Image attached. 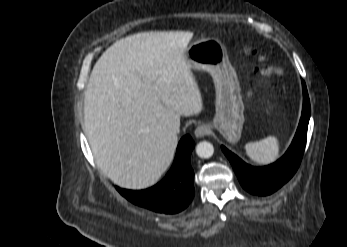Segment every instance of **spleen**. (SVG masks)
<instances>
[{
	"mask_svg": "<svg viewBox=\"0 0 347 247\" xmlns=\"http://www.w3.org/2000/svg\"><path fill=\"white\" fill-rule=\"evenodd\" d=\"M247 156L259 165H267L274 162L280 153V142L277 136H269L256 142H250L246 146Z\"/></svg>",
	"mask_w": 347,
	"mask_h": 247,
	"instance_id": "1",
	"label": "spleen"
}]
</instances>
